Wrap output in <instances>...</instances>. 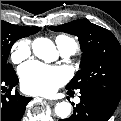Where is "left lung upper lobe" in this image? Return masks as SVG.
<instances>
[{"mask_svg": "<svg viewBox=\"0 0 121 121\" xmlns=\"http://www.w3.org/2000/svg\"><path fill=\"white\" fill-rule=\"evenodd\" d=\"M79 38L82 49L80 70L66 86L68 90L101 92L119 102L121 97V46L107 29L86 19L50 27Z\"/></svg>", "mask_w": 121, "mask_h": 121, "instance_id": "1", "label": "left lung upper lobe"}]
</instances>
